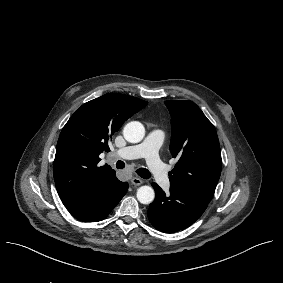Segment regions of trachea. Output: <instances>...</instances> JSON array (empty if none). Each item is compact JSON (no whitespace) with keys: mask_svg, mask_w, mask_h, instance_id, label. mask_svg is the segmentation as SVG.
Here are the masks:
<instances>
[{"mask_svg":"<svg viewBox=\"0 0 283 283\" xmlns=\"http://www.w3.org/2000/svg\"><path fill=\"white\" fill-rule=\"evenodd\" d=\"M124 166H125V165H124V162H123V161L119 160V161L116 162V168H118V169H123ZM136 172H137V174H138L140 177H142V178H144V179H149V178H151V172L148 171V170L145 169V168H139Z\"/></svg>","mask_w":283,"mask_h":283,"instance_id":"1","label":"trachea"}]
</instances>
